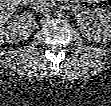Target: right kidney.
I'll return each instance as SVG.
<instances>
[{"label":"right kidney","mask_w":111,"mask_h":106,"mask_svg":"<svg viewBox=\"0 0 111 106\" xmlns=\"http://www.w3.org/2000/svg\"><path fill=\"white\" fill-rule=\"evenodd\" d=\"M35 17L30 13H21L7 21L4 36L9 42H19L29 37L35 25Z\"/></svg>","instance_id":"obj_1"}]
</instances>
